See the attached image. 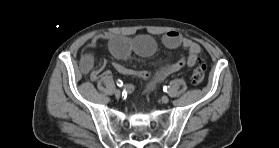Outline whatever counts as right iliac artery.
<instances>
[{
    "label": "right iliac artery",
    "mask_w": 279,
    "mask_h": 148,
    "mask_svg": "<svg viewBox=\"0 0 279 148\" xmlns=\"http://www.w3.org/2000/svg\"><path fill=\"white\" fill-rule=\"evenodd\" d=\"M117 86L122 87L123 86V82L121 80H117L116 81Z\"/></svg>",
    "instance_id": "82829eb1"
}]
</instances>
